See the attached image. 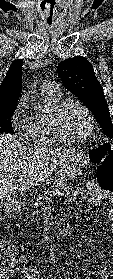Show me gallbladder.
Instances as JSON below:
<instances>
[{
	"label": "gallbladder",
	"instance_id": "obj_1",
	"mask_svg": "<svg viewBox=\"0 0 113 279\" xmlns=\"http://www.w3.org/2000/svg\"><path fill=\"white\" fill-rule=\"evenodd\" d=\"M5 207L4 200L0 199V211Z\"/></svg>",
	"mask_w": 113,
	"mask_h": 279
}]
</instances>
